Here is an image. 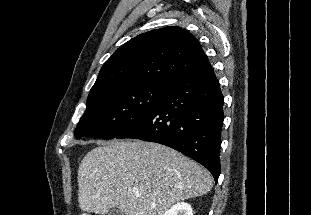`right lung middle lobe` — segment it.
Segmentation results:
<instances>
[{"instance_id":"obj_1","label":"right lung middle lobe","mask_w":311,"mask_h":215,"mask_svg":"<svg viewBox=\"0 0 311 215\" xmlns=\"http://www.w3.org/2000/svg\"><path fill=\"white\" fill-rule=\"evenodd\" d=\"M167 84L142 83L105 88L88 96L75 136L115 138L146 116L162 99Z\"/></svg>"}]
</instances>
